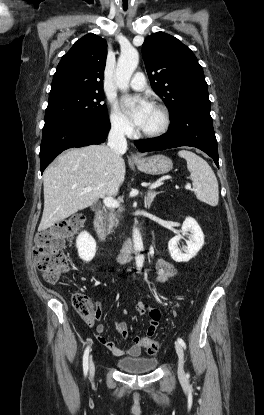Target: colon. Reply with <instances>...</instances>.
<instances>
[{
    "mask_svg": "<svg viewBox=\"0 0 264 415\" xmlns=\"http://www.w3.org/2000/svg\"><path fill=\"white\" fill-rule=\"evenodd\" d=\"M83 225V217L74 214L70 218L57 223L55 226L40 231L35 238V263L42 272L45 281L55 283L69 270L66 257L62 252L66 242L71 240ZM72 304L77 313L87 323L100 317V310L86 293H75ZM146 352L154 355L159 352V343L149 336L142 337Z\"/></svg>",
    "mask_w": 264,
    "mask_h": 415,
    "instance_id": "5ec220e1",
    "label": "colon"
}]
</instances>
